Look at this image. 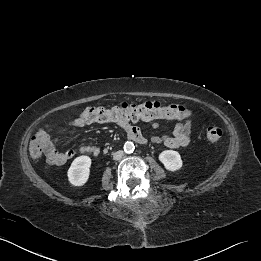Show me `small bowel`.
<instances>
[{
	"label": "small bowel",
	"mask_w": 261,
	"mask_h": 261,
	"mask_svg": "<svg viewBox=\"0 0 261 261\" xmlns=\"http://www.w3.org/2000/svg\"><path fill=\"white\" fill-rule=\"evenodd\" d=\"M117 126H119L123 131L126 132L129 137L131 134L141 133L139 128L132 125L129 121L120 120L114 122ZM87 123H85L80 117L74 119L70 126L73 128L83 127ZM152 128L158 127V122L151 123ZM50 132L53 130L52 127L48 129ZM190 135H191V120L184 119L179 120L172 132L170 134L156 135L151 138V141L155 144H163L169 148H180L185 147L190 143ZM58 140L52 138L47 134V140L45 143L44 153L46 156V160L49 164L60 166L69 161L76 154L74 150H67L63 153L58 152L57 150ZM99 149L91 146V145H83L79 148V153L84 155H96L98 154Z\"/></svg>",
	"instance_id": "1"
}]
</instances>
